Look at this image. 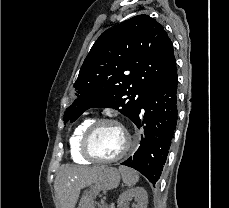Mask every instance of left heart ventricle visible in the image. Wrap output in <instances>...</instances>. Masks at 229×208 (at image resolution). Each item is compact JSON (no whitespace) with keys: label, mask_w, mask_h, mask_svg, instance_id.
Here are the masks:
<instances>
[{"label":"left heart ventricle","mask_w":229,"mask_h":208,"mask_svg":"<svg viewBox=\"0 0 229 208\" xmlns=\"http://www.w3.org/2000/svg\"><path fill=\"white\" fill-rule=\"evenodd\" d=\"M90 144V152H95V157L107 160L108 157H117L125 149L128 137L120 127L106 124L96 131Z\"/></svg>","instance_id":"obj_1"}]
</instances>
